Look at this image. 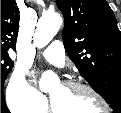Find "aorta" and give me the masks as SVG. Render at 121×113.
Segmentation results:
<instances>
[{
	"label": "aorta",
	"mask_w": 121,
	"mask_h": 113,
	"mask_svg": "<svg viewBox=\"0 0 121 113\" xmlns=\"http://www.w3.org/2000/svg\"><path fill=\"white\" fill-rule=\"evenodd\" d=\"M62 24V18L57 13L43 14L39 19L35 34L34 44L37 48H44L57 34ZM55 78L52 73H45L40 80V88L47 90L48 84Z\"/></svg>",
	"instance_id": "1"
}]
</instances>
